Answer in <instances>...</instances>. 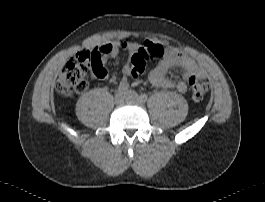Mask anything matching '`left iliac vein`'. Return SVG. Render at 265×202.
<instances>
[{"instance_id": "obj_1", "label": "left iliac vein", "mask_w": 265, "mask_h": 202, "mask_svg": "<svg viewBox=\"0 0 265 202\" xmlns=\"http://www.w3.org/2000/svg\"><path fill=\"white\" fill-rule=\"evenodd\" d=\"M126 96H127V101L131 102V103H136L139 105L143 104V101L141 100V98L138 96V94L132 90H128L126 92Z\"/></svg>"}]
</instances>
